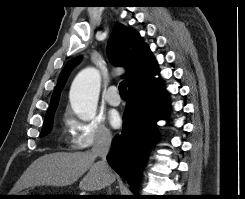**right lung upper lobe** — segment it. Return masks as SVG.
I'll return each mask as SVG.
<instances>
[{"label":"right lung upper lobe","instance_id":"right-lung-upper-lobe-1","mask_svg":"<svg viewBox=\"0 0 245 199\" xmlns=\"http://www.w3.org/2000/svg\"><path fill=\"white\" fill-rule=\"evenodd\" d=\"M108 56L118 66L125 67L124 75L128 84V91L145 90L159 81L154 78L158 74L157 62L151 50L141 40L135 31L117 23L108 42ZM80 57L70 60L63 68L58 83L51 97L46 116L55 112L60 92L63 90L72 68L80 61Z\"/></svg>","mask_w":245,"mask_h":199}]
</instances>
